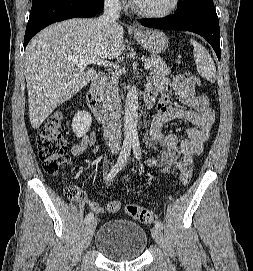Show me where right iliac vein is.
<instances>
[{
    "instance_id": "1",
    "label": "right iliac vein",
    "mask_w": 253,
    "mask_h": 271,
    "mask_svg": "<svg viewBox=\"0 0 253 271\" xmlns=\"http://www.w3.org/2000/svg\"><path fill=\"white\" fill-rule=\"evenodd\" d=\"M97 224L96 218H93L90 222H88L84 229V235H83V245L84 247H87L92 239L93 233L95 231Z\"/></svg>"
}]
</instances>
